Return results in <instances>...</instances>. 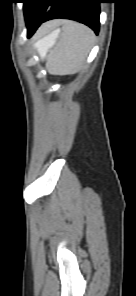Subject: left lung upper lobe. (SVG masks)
I'll list each match as a JSON object with an SVG mask.
<instances>
[{"instance_id": "5c2ea615", "label": "left lung upper lobe", "mask_w": 136, "mask_h": 296, "mask_svg": "<svg viewBox=\"0 0 136 296\" xmlns=\"http://www.w3.org/2000/svg\"><path fill=\"white\" fill-rule=\"evenodd\" d=\"M53 0H24L23 9L27 28L40 21Z\"/></svg>"}]
</instances>
